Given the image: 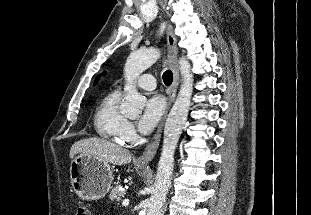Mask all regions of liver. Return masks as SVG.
<instances>
[{
  "label": "liver",
  "instance_id": "liver-1",
  "mask_svg": "<svg viewBox=\"0 0 311 215\" xmlns=\"http://www.w3.org/2000/svg\"><path fill=\"white\" fill-rule=\"evenodd\" d=\"M80 154L96 158L113 165L128 164L132 160L130 152L121 146L100 138H85L75 142L70 149V158Z\"/></svg>",
  "mask_w": 311,
  "mask_h": 215
}]
</instances>
